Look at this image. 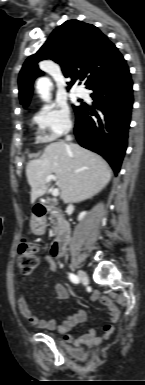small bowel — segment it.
<instances>
[{
    "label": "small bowel",
    "mask_w": 145,
    "mask_h": 385,
    "mask_svg": "<svg viewBox=\"0 0 145 385\" xmlns=\"http://www.w3.org/2000/svg\"><path fill=\"white\" fill-rule=\"evenodd\" d=\"M44 260L49 264V269L51 272H55L57 269V265L54 262L52 255H46ZM56 292V299L58 301H63L68 298V291L66 287L60 282H56L54 285ZM93 301H97L102 305L108 308V318L111 323L106 324L103 328V334L98 336L96 330L91 328L88 332L78 336L73 337L72 330L78 324L85 320L86 313L84 310H79L76 313L68 316L61 324H58L54 319H42L35 316L24 296L21 294L17 300V307L20 314L29 321L31 324L45 330L54 331L56 330L58 333L64 335V339L68 343H72L75 347H80L82 345H97L107 340L111 334L114 332V325L120 315V309L117 305H115L112 300L105 296L101 295L98 292H94L91 296Z\"/></svg>",
    "instance_id": "1"
}]
</instances>
